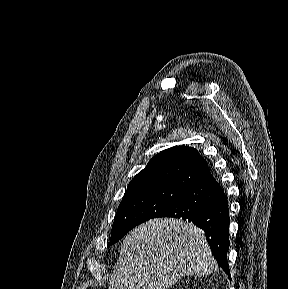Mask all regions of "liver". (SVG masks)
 I'll use <instances>...</instances> for the list:
<instances>
[{"mask_svg":"<svg viewBox=\"0 0 288 289\" xmlns=\"http://www.w3.org/2000/svg\"><path fill=\"white\" fill-rule=\"evenodd\" d=\"M203 231L175 218L149 220L126 235L109 289H167L216 268Z\"/></svg>","mask_w":288,"mask_h":289,"instance_id":"liver-1","label":"liver"}]
</instances>
